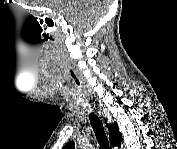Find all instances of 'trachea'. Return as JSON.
Wrapping results in <instances>:
<instances>
[{
    "label": "trachea",
    "instance_id": "1",
    "mask_svg": "<svg viewBox=\"0 0 177 149\" xmlns=\"http://www.w3.org/2000/svg\"><path fill=\"white\" fill-rule=\"evenodd\" d=\"M89 120L92 125L93 131L98 139V142L102 149H110L108 138L104 132L103 124L96 114L91 112L89 114Z\"/></svg>",
    "mask_w": 177,
    "mask_h": 149
}]
</instances>
